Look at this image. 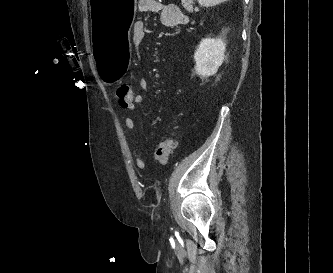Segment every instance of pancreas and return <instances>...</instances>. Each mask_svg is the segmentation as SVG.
Returning a JSON list of instances; mask_svg holds the SVG:
<instances>
[{
	"label": "pancreas",
	"instance_id": "pancreas-1",
	"mask_svg": "<svg viewBox=\"0 0 333 273\" xmlns=\"http://www.w3.org/2000/svg\"><path fill=\"white\" fill-rule=\"evenodd\" d=\"M193 0H182V5L188 12L193 11Z\"/></svg>",
	"mask_w": 333,
	"mask_h": 273
}]
</instances>
